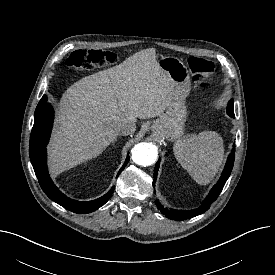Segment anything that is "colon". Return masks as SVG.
<instances>
[{
	"mask_svg": "<svg viewBox=\"0 0 275 275\" xmlns=\"http://www.w3.org/2000/svg\"><path fill=\"white\" fill-rule=\"evenodd\" d=\"M116 59V54L107 50H77L71 53L67 58L66 65L77 70H90L96 67L112 64ZM188 65L193 81L197 87L203 88L207 86L214 74V64L204 58L193 56L188 59Z\"/></svg>",
	"mask_w": 275,
	"mask_h": 275,
	"instance_id": "1",
	"label": "colon"
}]
</instances>
